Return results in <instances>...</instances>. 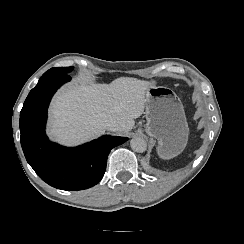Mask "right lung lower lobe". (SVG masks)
Listing matches in <instances>:
<instances>
[{"mask_svg":"<svg viewBox=\"0 0 244 244\" xmlns=\"http://www.w3.org/2000/svg\"><path fill=\"white\" fill-rule=\"evenodd\" d=\"M69 80L71 77L65 73L40 78L20 112V141L27 162L42 180L72 191L96 185L105 173L111 149L128 138L106 135L75 148L50 142L45 134L47 108L56 90Z\"/></svg>","mask_w":244,"mask_h":244,"instance_id":"98d812e1","label":"right lung lower lobe"}]
</instances>
